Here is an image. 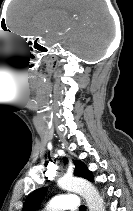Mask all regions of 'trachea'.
Masks as SVG:
<instances>
[{"label": "trachea", "mask_w": 133, "mask_h": 211, "mask_svg": "<svg viewBox=\"0 0 133 211\" xmlns=\"http://www.w3.org/2000/svg\"><path fill=\"white\" fill-rule=\"evenodd\" d=\"M79 211H86V207L85 206H81Z\"/></svg>", "instance_id": "1"}]
</instances>
